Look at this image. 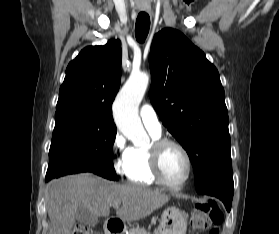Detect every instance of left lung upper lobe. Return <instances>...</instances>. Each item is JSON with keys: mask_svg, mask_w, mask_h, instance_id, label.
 Segmentation results:
<instances>
[{"mask_svg": "<svg viewBox=\"0 0 279 234\" xmlns=\"http://www.w3.org/2000/svg\"><path fill=\"white\" fill-rule=\"evenodd\" d=\"M149 64V97L163 124L188 153L197 192L217 183L232 184L229 118L216 67L171 28L155 34Z\"/></svg>", "mask_w": 279, "mask_h": 234, "instance_id": "left-lung-upper-lobe-1", "label": "left lung upper lobe"}]
</instances>
